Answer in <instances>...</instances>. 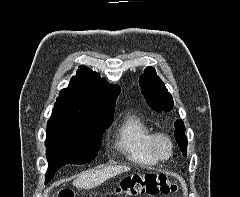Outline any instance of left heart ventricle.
<instances>
[{"label":"left heart ventricle","instance_id":"obj_1","mask_svg":"<svg viewBox=\"0 0 240 197\" xmlns=\"http://www.w3.org/2000/svg\"><path fill=\"white\" fill-rule=\"evenodd\" d=\"M160 150L162 153H166V145L164 143L160 144Z\"/></svg>","mask_w":240,"mask_h":197}]
</instances>
